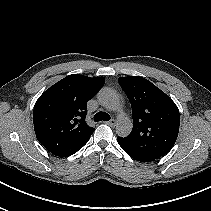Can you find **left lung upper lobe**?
Wrapping results in <instances>:
<instances>
[{
    "label": "left lung upper lobe",
    "mask_w": 211,
    "mask_h": 211,
    "mask_svg": "<svg viewBox=\"0 0 211 211\" xmlns=\"http://www.w3.org/2000/svg\"><path fill=\"white\" fill-rule=\"evenodd\" d=\"M132 106L133 129L122 138L126 151L154 159L174 146L180 126L179 110L173 100L143 77L118 79Z\"/></svg>",
    "instance_id": "left-lung-upper-lobe-1"
}]
</instances>
